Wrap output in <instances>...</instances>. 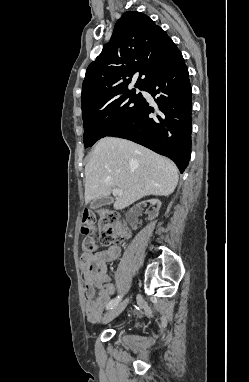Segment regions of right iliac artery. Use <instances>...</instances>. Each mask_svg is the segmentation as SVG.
<instances>
[{
	"label": "right iliac artery",
	"instance_id": "right-iliac-artery-1",
	"mask_svg": "<svg viewBox=\"0 0 249 382\" xmlns=\"http://www.w3.org/2000/svg\"><path fill=\"white\" fill-rule=\"evenodd\" d=\"M121 300V296H117L114 299H112L108 304H107V310L112 309L114 306H116L119 301Z\"/></svg>",
	"mask_w": 249,
	"mask_h": 382
}]
</instances>
